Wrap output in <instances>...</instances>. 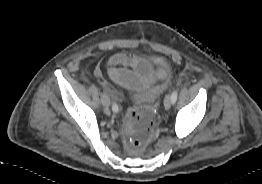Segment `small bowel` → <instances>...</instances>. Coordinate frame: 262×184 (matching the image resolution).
<instances>
[{
    "label": "small bowel",
    "mask_w": 262,
    "mask_h": 184,
    "mask_svg": "<svg viewBox=\"0 0 262 184\" xmlns=\"http://www.w3.org/2000/svg\"><path fill=\"white\" fill-rule=\"evenodd\" d=\"M109 64V78L116 84L133 90L144 89L167 76L164 67L153 66L144 59L126 52L112 55ZM94 75L98 78L102 76L99 67H95Z\"/></svg>",
    "instance_id": "obj_1"
}]
</instances>
